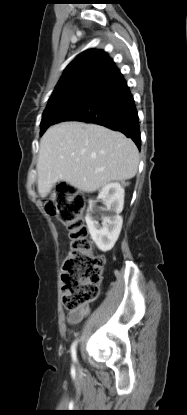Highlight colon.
<instances>
[{"mask_svg": "<svg viewBox=\"0 0 187 415\" xmlns=\"http://www.w3.org/2000/svg\"><path fill=\"white\" fill-rule=\"evenodd\" d=\"M85 197L69 183L58 184L47 200L46 211L67 229L71 245L61 275L63 304L77 310L99 295L104 258L92 250L83 219Z\"/></svg>", "mask_w": 187, "mask_h": 415, "instance_id": "5ec220e1", "label": "colon"}]
</instances>
